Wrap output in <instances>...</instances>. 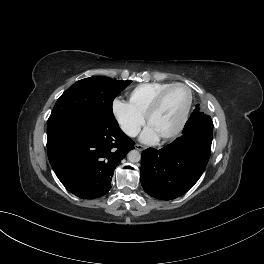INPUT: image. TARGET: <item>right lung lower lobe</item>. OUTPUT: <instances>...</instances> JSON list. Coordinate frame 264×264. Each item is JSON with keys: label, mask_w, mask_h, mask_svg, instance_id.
<instances>
[{"label": "right lung lower lobe", "mask_w": 264, "mask_h": 264, "mask_svg": "<svg viewBox=\"0 0 264 264\" xmlns=\"http://www.w3.org/2000/svg\"><path fill=\"white\" fill-rule=\"evenodd\" d=\"M134 142L115 119L81 117L47 133L49 162L61 183L74 195L94 199L111 188L118 163Z\"/></svg>", "instance_id": "right-lung-lower-lobe-1"}]
</instances>
